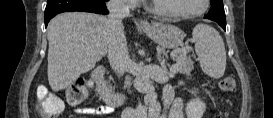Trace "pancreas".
<instances>
[{"label":"pancreas","instance_id":"pancreas-1","mask_svg":"<svg viewBox=\"0 0 273 118\" xmlns=\"http://www.w3.org/2000/svg\"><path fill=\"white\" fill-rule=\"evenodd\" d=\"M191 51L190 47H185L181 49L177 55V63L174 66L170 67L169 74L173 75L176 72L182 74L190 75V72L193 70V62L188 56V53ZM164 67V65H162Z\"/></svg>","mask_w":273,"mask_h":118}]
</instances>
